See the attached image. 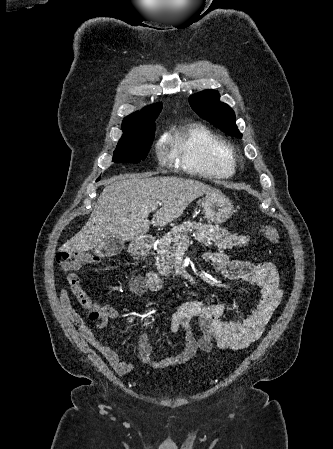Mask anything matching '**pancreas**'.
I'll return each mask as SVG.
<instances>
[{"mask_svg": "<svg viewBox=\"0 0 333 449\" xmlns=\"http://www.w3.org/2000/svg\"><path fill=\"white\" fill-rule=\"evenodd\" d=\"M212 230V231H211ZM193 232L195 239L205 246L216 245L219 248H232L248 244L246 236L231 234L227 229L202 225L200 223L186 221L175 226L166 234L158 244L156 266L161 275L168 276L173 268L177 247L182 243H189L188 233Z\"/></svg>", "mask_w": 333, "mask_h": 449, "instance_id": "pancreas-1", "label": "pancreas"}]
</instances>
